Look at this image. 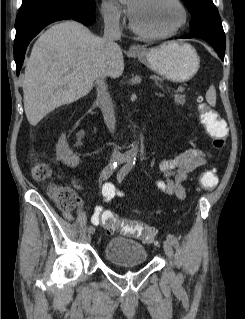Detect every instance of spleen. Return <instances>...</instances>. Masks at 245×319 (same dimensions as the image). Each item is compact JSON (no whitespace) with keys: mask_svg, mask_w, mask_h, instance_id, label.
Wrapping results in <instances>:
<instances>
[{"mask_svg":"<svg viewBox=\"0 0 245 319\" xmlns=\"http://www.w3.org/2000/svg\"><path fill=\"white\" fill-rule=\"evenodd\" d=\"M206 101L208 102L209 105L215 106L216 105V89L214 85H211L206 92Z\"/></svg>","mask_w":245,"mask_h":319,"instance_id":"1","label":"spleen"}]
</instances>
